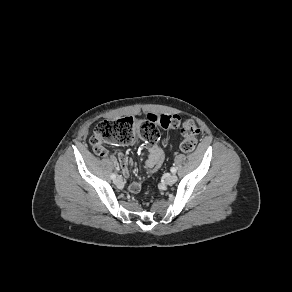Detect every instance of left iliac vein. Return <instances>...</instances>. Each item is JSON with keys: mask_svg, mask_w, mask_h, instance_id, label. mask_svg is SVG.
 I'll return each mask as SVG.
<instances>
[{"mask_svg": "<svg viewBox=\"0 0 292 292\" xmlns=\"http://www.w3.org/2000/svg\"><path fill=\"white\" fill-rule=\"evenodd\" d=\"M178 180L177 176L175 174H171L167 177L166 182L168 184H174Z\"/></svg>", "mask_w": 292, "mask_h": 292, "instance_id": "left-iliac-vein-1", "label": "left iliac vein"}]
</instances>
